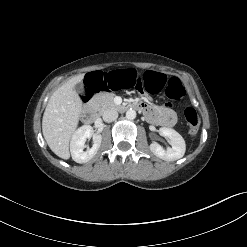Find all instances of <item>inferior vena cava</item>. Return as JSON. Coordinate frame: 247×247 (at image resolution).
<instances>
[{
    "instance_id": "602c4592",
    "label": "inferior vena cava",
    "mask_w": 247,
    "mask_h": 247,
    "mask_svg": "<svg viewBox=\"0 0 247 247\" xmlns=\"http://www.w3.org/2000/svg\"><path fill=\"white\" fill-rule=\"evenodd\" d=\"M102 117L105 122L109 123L117 119L118 113L113 109H107L103 112Z\"/></svg>"
}]
</instances>
